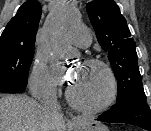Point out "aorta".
Masks as SVG:
<instances>
[{"mask_svg":"<svg viewBox=\"0 0 151 131\" xmlns=\"http://www.w3.org/2000/svg\"><path fill=\"white\" fill-rule=\"evenodd\" d=\"M77 20L78 16L71 7L61 6L53 12L48 22L47 30L51 39L58 43L60 53L66 57H71L74 53L61 41V37Z\"/></svg>","mask_w":151,"mask_h":131,"instance_id":"1","label":"aorta"}]
</instances>
